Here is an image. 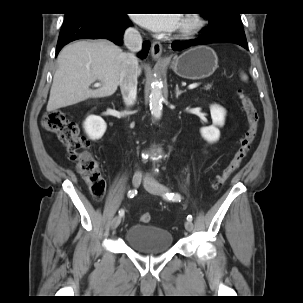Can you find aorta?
Here are the masks:
<instances>
[{"instance_id":"obj_1","label":"aorta","mask_w":303,"mask_h":303,"mask_svg":"<svg viewBox=\"0 0 303 303\" xmlns=\"http://www.w3.org/2000/svg\"><path fill=\"white\" fill-rule=\"evenodd\" d=\"M162 82L160 80H154L151 87L150 93V111L153 117L156 119L162 116Z\"/></svg>"}]
</instances>
